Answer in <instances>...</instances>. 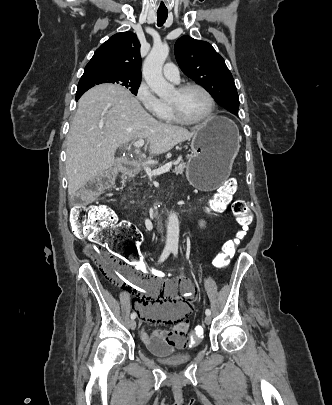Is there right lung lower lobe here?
Instances as JSON below:
<instances>
[{
	"mask_svg": "<svg viewBox=\"0 0 332 405\" xmlns=\"http://www.w3.org/2000/svg\"><path fill=\"white\" fill-rule=\"evenodd\" d=\"M83 95V93L77 94L76 93V101Z\"/></svg>",
	"mask_w": 332,
	"mask_h": 405,
	"instance_id": "right-lung-lower-lobe-1",
	"label": "right lung lower lobe"
}]
</instances>
